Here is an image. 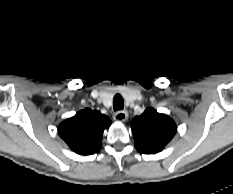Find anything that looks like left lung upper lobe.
I'll return each instance as SVG.
<instances>
[{
  "mask_svg": "<svg viewBox=\"0 0 233 194\" xmlns=\"http://www.w3.org/2000/svg\"><path fill=\"white\" fill-rule=\"evenodd\" d=\"M131 129L137 150L144 154H154L160 152L173 138L177 127L167 115L148 108L133 119Z\"/></svg>",
  "mask_w": 233,
  "mask_h": 194,
  "instance_id": "obj_1",
  "label": "left lung upper lobe"
}]
</instances>
